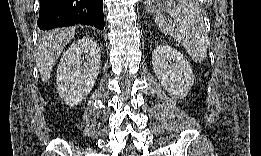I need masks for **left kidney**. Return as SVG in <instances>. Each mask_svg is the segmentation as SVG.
Instances as JSON below:
<instances>
[{"label":"left kidney","instance_id":"5707ae66","mask_svg":"<svg viewBox=\"0 0 261 156\" xmlns=\"http://www.w3.org/2000/svg\"><path fill=\"white\" fill-rule=\"evenodd\" d=\"M153 70L165 90L185 97L194 83L193 71L184 55L168 45H158L152 53Z\"/></svg>","mask_w":261,"mask_h":156}]
</instances>
